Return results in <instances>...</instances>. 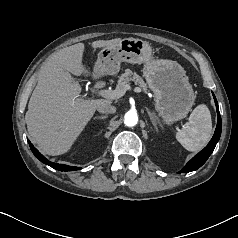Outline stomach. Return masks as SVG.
Wrapping results in <instances>:
<instances>
[{
  "mask_svg": "<svg viewBox=\"0 0 238 238\" xmlns=\"http://www.w3.org/2000/svg\"><path fill=\"white\" fill-rule=\"evenodd\" d=\"M121 62L145 64L144 77L154 93L156 109L166 123L181 120L191 111L195 101L194 91L180 64L154 59L148 42L125 38L98 53L94 72L97 75H115L120 70Z\"/></svg>",
  "mask_w": 238,
  "mask_h": 238,
  "instance_id": "stomach-1",
  "label": "stomach"
}]
</instances>
